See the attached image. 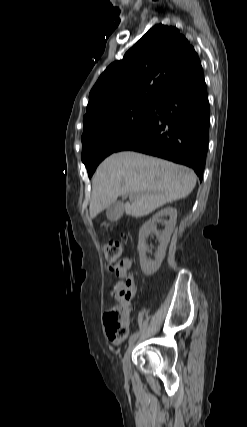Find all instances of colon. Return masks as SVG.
<instances>
[{
    "mask_svg": "<svg viewBox=\"0 0 247 427\" xmlns=\"http://www.w3.org/2000/svg\"><path fill=\"white\" fill-rule=\"evenodd\" d=\"M124 244L109 241L102 246L104 258L111 264L116 263L122 255ZM104 324L109 340L115 344L122 343L129 334V307L127 301L118 303L104 314Z\"/></svg>",
    "mask_w": 247,
    "mask_h": 427,
    "instance_id": "5ec220e1",
    "label": "colon"
}]
</instances>
